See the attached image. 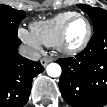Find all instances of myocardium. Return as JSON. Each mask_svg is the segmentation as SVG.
I'll use <instances>...</instances> for the list:
<instances>
[{
	"instance_id": "myocardium-1",
	"label": "myocardium",
	"mask_w": 107,
	"mask_h": 107,
	"mask_svg": "<svg viewBox=\"0 0 107 107\" xmlns=\"http://www.w3.org/2000/svg\"><path fill=\"white\" fill-rule=\"evenodd\" d=\"M75 19L84 20L86 23L87 29H86V34H85L84 38L82 39V41L75 46H71L68 43V39H67L68 30H69L71 23ZM91 36H92V26H91L89 19L82 14L76 13L65 23L55 46H56L57 50L64 55H68V56L76 55V54L80 53L82 50H84V48L88 45V43L91 39Z\"/></svg>"
}]
</instances>
